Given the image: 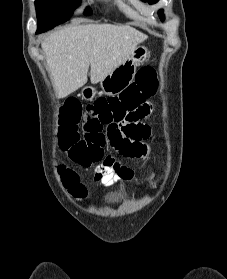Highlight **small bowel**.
Returning a JSON list of instances; mask_svg holds the SVG:
<instances>
[{"instance_id":"c3829d8e","label":"small bowel","mask_w":227,"mask_h":279,"mask_svg":"<svg viewBox=\"0 0 227 279\" xmlns=\"http://www.w3.org/2000/svg\"><path fill=\"white\" fill-rule=\"evenodd\" d=\"M145 102H147L145 100ZM132 140L124 135L122 131H119L115 139L111 140V145L114 149L123 157L128 156V148L132 144ZM69 170L68 168H63L61 173ZM134 177V170L128 166L120 165L118 161L112 156L104 157L99 165L94 169L93 179L95 182L100 183L104 186H112L118 181L129 182ZM149 178V176H147ZM86 191L81 189L78 191V196L84 197Z\"/></svg>"}]
</instances>
